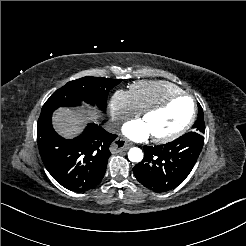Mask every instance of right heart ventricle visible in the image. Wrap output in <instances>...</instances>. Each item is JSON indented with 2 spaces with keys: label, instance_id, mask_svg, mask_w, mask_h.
I'll return each mask as SVG.
<instances>
[{
  "label": "right heart ventricle",
  "instance_id": "obj_1",
  "mask_svg": "<svg viewBox=\"0 0 246 246\" xmlns=\"http://www.w3.org/2000/svg\"><path fill=\"white\" fill-rule=\"evenodd\" d=\"M129 95L136 112L156 105L164 100L181 94L177 86L163 81H139L129 87Z\"/></svg>",
  "mask_w": 246,
  "mask_h": 246
}]
</instances>
